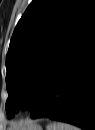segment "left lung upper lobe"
<instances>
[{"mask_svg":"<svg viewBox=\"0 0 95 130\" xmlns=\"http://www.w3.org/2000/svg\"><path fill=\"white\" fill-rule=\"evenodd\" d=\"M95 14L91 0H33L12 35L6 56L9 118L24 101L32 109L53 67L66 53L86 20Z\"/></svg>","mask_w":95,"mask_h":130,"instance_id":"5c2ea615","label":"left lung upper lobe"}]
</instances>
